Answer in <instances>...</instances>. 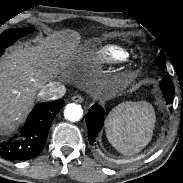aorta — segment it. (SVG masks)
Wrapping results in <instances>:
<instances>
[{
    "label": "aorta",
    "instance_id": "762f6f07",
    "mask_svg": "<svg viewBox=\"0 0 183 183\" xmlns=\"http://www.w3.org/2000/svg\"><path fill=\"white\" fill-rule=\"evenodd\" d=\"M82 115V107L75 103L68 104L64 110L65 118L72 122L80 120Z\"/></svg>",
    "mask_w": 183,
    "mask_h": 183
}]
</instances>
